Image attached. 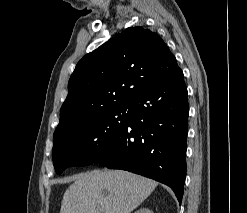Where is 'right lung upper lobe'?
I'll return each mask as SVG.
<instances>
[{
	"mask_svg": "<svg viewBox=\"0 0 247 213\" xmlns=\"http://www.w3.org/2000/svg\"><path fill=\"white\" fill-rule=\"evenodd\" d=\"M178 68L175 56L159 35L142 27L124 30L76 65L54 138L112 107L130 102Z\"/></svg>",
	"mask_w": 247,
	"mask_h": 213,
	"instance_id": "right-lung-upper-lobe-1",
	"label": "right lung upper lobe"
}]
</instances>
